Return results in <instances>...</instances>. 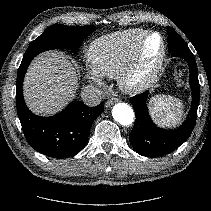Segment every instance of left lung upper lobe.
<instances>
[{
  "label": "left lung upper lobe",
  "mask_w": 211,
  "mask_h": 211,
  "mask_svg": "<svg viewBox=\"0 0 211 211\" xmlns=\"http://www.w3.org/2000/svg\"><path fill=\"white\" fill-rule=\"evenodd\" d=\"M167 31H168V35H169L170 33L177 34V32H176L174 29L170 28V27H168ZM182 41H183V40H182ZM182 45H183L184 47H188L184 41L182 42Z\"/></svg>",
  "instance_id": "5c2ea615"
}]
</instances>
